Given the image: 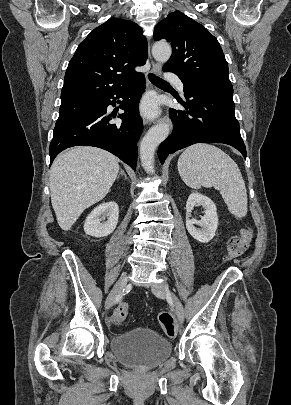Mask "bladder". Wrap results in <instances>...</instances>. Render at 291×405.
<instances>
[{
    "instance_id": "31cf9c89",
    "label": "bladder",
    "mask_w": 291,
    "mask_h": 405,
    "mask_svg": "<svg viewBox=\"0 0 291 405\" xmlns=\"http://www.w3.org/2000/svg\"><path fill=\"white\" fill-rule=\"evenodd\" d=\"M111 350L124 364L136 368H154L169 358L171 342L158 332L138 327L114 336Z\"/></svg>"
}]
</instances>
